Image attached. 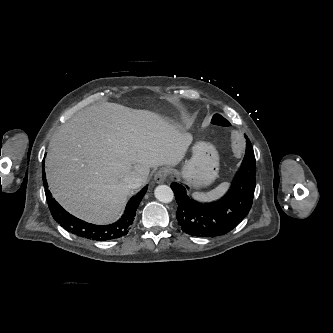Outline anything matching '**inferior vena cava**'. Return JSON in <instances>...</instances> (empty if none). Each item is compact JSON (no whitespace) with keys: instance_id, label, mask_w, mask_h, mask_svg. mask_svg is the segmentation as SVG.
Wrapping results in <instances>:
<instances>
[{"instance_id":"1","label":"inferior vena cava","mask_w":333,"mask_h":333,"mask_svg":"<svg viewBox=\"0 0 333 333\" xmlns=\"http://www.w3.org/2000/svg\"><path fill=\"white\" fill-rule=\"evenodd\" d=\"M124 183L128 189H136L142 185L143 178L137 172L132 171V172L128 173L127 175H125Z\"/></svg>"}]
</instances>
